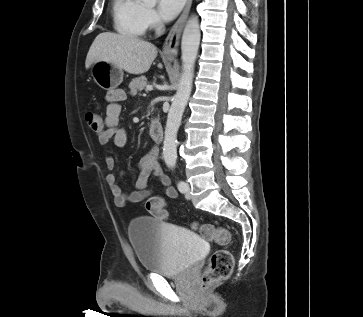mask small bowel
<instances>
[{
  "instance_id": "small-bowel-1",
  "label": "small bowel",
  "mask_w": 363,
  "mask_h": 317,
  "mask_svg": "<svg viewBox=\"0 0 363 317\" xmlns=\"http://www.w3.org/2000/svg\"><path fill=\"white\" fill-rule=\"evenodd\" d=\"M108 105L106 115L103 119V130L98 135V140L101 145L113 143L114 146L121 148L128 142V133L120 125V103L125 100L126 94L122 89H114L107 94ZM106 165L110 171L116 167V160L112 156L106 157ZM137 167L139 175L136 180V190L130 193H124L118 184L120 177L125 174L117 175L110 172L106 176V181L111 189L114 203L123 207L128 202L139 203L148 200L152 197L151 192L146 188L150 176L157 177L164 188V194L168 198H176L177 191L171 187L169 177L164 173V170L159 161V152L157 148L150 149L138 161Z\"/></svg>"
}]
</instances>
